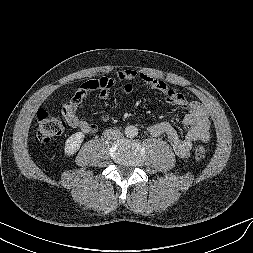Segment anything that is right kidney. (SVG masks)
I'll list each match as a JSON object with an SVG mask.
<instances>
[{
	"instance_id": "1",
	"label": "right kidney",
	"mask_w": 253,
	"mask_h": 253,
	"mask_svg": "<svg viewBox=\"0 0 253 253\" xmlns=\"http://www.w3.org/2000/svg\"><path fill=\"white\" fill-rule=\"evenodd\" d=\"M85 135L82 132L72 134L65 142L64 152L67 156L76 153L84 139Z\"/></svg>"
}]
</instances>
